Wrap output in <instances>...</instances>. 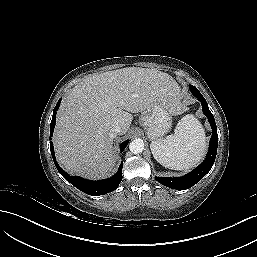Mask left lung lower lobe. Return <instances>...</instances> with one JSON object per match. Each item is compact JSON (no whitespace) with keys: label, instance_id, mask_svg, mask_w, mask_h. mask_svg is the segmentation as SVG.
Masks as SVG:
<instances>
[{"label":"left lung lower lobe","instance_id":"0a47b994","mask_svg":"<svg viewBox=\"0 0 257 257\" xmlns=\"http://www.w3.org/2000/svg\"><path fill=\"white\" fill-rule=\"evenodd\" d=\"M191 92L194 96L198 98V100L202 104L203 113L207 116L212 128V136L210 140L209 151L205 160L202 162L201 165L195 168L192 172L182 177H173V178L156 177V180L161 184H163L164 186H167L169 188L176 189V190H185V189L191 188L196 183H198L210 171V169L214 164L216 153H217V147H218L217 126L215 123L214 116L210 112L208 104L204 99V97L199 92V90L198 89L191 90Z\"/></svg>","mask_w":257,"mask_h":257}]
</instances>
